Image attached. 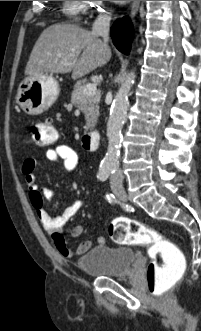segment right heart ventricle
<instances>
[{
  "instance_id": "right-heart-ventricle-1",
  "label": "right heart ventricle",
  "mask_w": 201,
  "mask_h": 331,
  "mask_svg": "<svg viewBox=\"0 0 201 331\" xmlns=\"http://www.w3.org/2000/svg\"><path fill=\"white\" fill-rule=\"evenodd\" d=\"M64 13L73 21L80 19V14L83 11V7L80 1H63Z\"/></svg>"
}]
</instances>
